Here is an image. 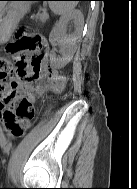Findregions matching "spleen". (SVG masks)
Returning <instances> with one entry per match:
<instances>
[{"label": "spleen", "instance_id": "obj_1", "mask_svg": "<svg viewBox=\"0 0 137 189\" xmlns=\"http://www.w3.org/2000/svg\"><path fill=\"white\" fill-rule=\"evenodd\" d=\"M49 6L55 13L62 14L68 8H73L74 2L70 1H50Z\"/></svg>", "mask_w": 137, "mask_h": 189}]
</instances>
